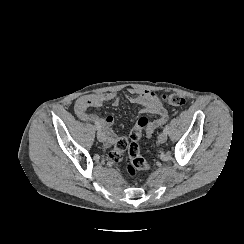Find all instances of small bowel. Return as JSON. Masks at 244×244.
<instances>
[{
  "mask_svg": "<svg viewBox=\"0 0 244 244\" xmlns=\"http://www.w3.org/2000/svg\"><path fill=\"white\" fill-rule=\"evenodd\" d=\"M126 98L130 103L140 105L141 113L155 115V119L150 120L149 127L145 129L147 136H151L167 121L168 111L155 92L144 89H131ZM107 102L118 105L119 99L113 93L84 95L75 101L74 112L81 121L98 120L99 126L103 129L106 136V145L111 146L116 140V134L112 128L114 117L111 114L97 116L89 112V109L100 108Z\"/></svg>",
  "mask_w": 244,
  "mask_h": 244,
  "instance_id": "small-bowel-1",
  "label": "small bowel"
}]
</instances>
